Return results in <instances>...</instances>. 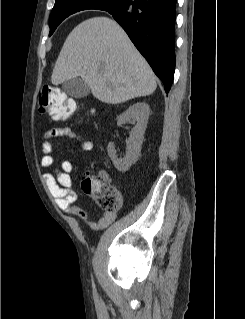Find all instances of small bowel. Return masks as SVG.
<instances>
[{
    "label": "small bowel",
    "instance_id": "small-bowel-1",
    "mask_svg": "<svg viewBox=\"0 0 245 319\" xmlns=\"http://www.w3.org/2000/svg\"><path fill=\"white\" fill-rule=\"evenodd\" d=\"M57 137L73 140L74 144L86 153L91 152L94 148L92 140L75 133L69 127L52 128L44 133L41 145V166L50 168L51 172L44 173L43 180L54 196L57 206L69 214L84 219L92 229L107 227L116 218L114 212H104L98 219H93L85 209L76 204L77 194L73 189L71 177L74 171L73 163L68 159H63L58 167L54 166L52 139Z\"/></svg>",
    "mask_w": 245,
    "mask_h": 319
}]
</instances>
